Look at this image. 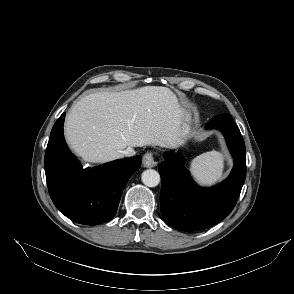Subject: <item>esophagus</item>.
I'll use <instances>...</instances> for the list:
<instances>
[{
	"mask_svg": "<svg viewBox=\"0 0 294 294\" xmlns=\"http://www.w3.org/2000/svg\"><path fill=\"white\" fill-rule=\"evenodd\" d=\"M143 166L146 168H152L156 165V162L154 161V157L152 153H146L143 156V160H142Z\"/></svg>",
	"mask_w": 294,
	"mask_h": 294,
	"instance_id": "esophagus-1",
	"label": "esophagus"
}]
</instances>
